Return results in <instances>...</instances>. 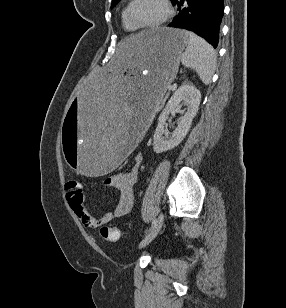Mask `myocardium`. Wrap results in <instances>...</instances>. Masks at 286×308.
<instances>
[{
    "instance_id": "f54148a6",
    "label": "myocardium",
    "mask_w": 286,
    "mask_h": 308,
    "mask_svg": "<svg viewBox=\"0 0 286 308\" xmlns=\"http://www.w3.org/2000/svg\"><path fill=\"white\" fill-rule=\"evenodd\" d=\"M137 2V0H130L128 8H127V18L128 21L136 28V29H156L164 25L168 19L172 15V7L170 5L169 0H161V3L164 7V15L161 19H159L157 22L152 24H139L135 21L133 17V7L134 4Z\"/></svg>"
}]
</instances>
